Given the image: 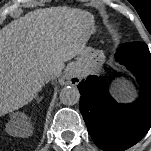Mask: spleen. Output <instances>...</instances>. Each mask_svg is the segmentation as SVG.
Masks as SVG:
<instances>
[{
  "instance_id": "1",
  "label": "spleen",
  "mask_w": 151,
  "mask_h": 151,
  "mask_svg": "<svg viewBox=\"0 0 151 151\" xmlns=\"http://www.w3.org/2000/svg\"><path fill=\"white\" fill-rule=\"evenodd\" d=\"M113 91L118 94L119 98L128 99V94L130 93V89L128 85L124 81H120L115 84Z\"/></svg>"
}]
</instances>
